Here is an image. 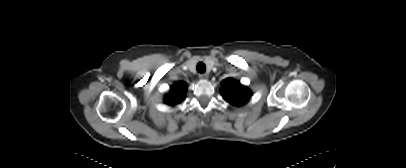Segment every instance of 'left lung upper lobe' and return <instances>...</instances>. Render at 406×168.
Returning <instances> with one entry per match:
<instances>
[{
  "mask_svg": "<svg viewBox=\"0 0 406 168\" xmlns=\"http://www.w3.org/2000/svg\"><path fill=\"white\" fill-rule=\"evenodd\" d=\"M221 94L223 98L232 105H243L251 97V92L247 87L232 78H227L221 82Z\"/></svg>",
  "mask_w": 406,
  "mask_h": 168,
  "instance_id": "1",
  "label": "left lung upper lobe"
}]
</instances>
